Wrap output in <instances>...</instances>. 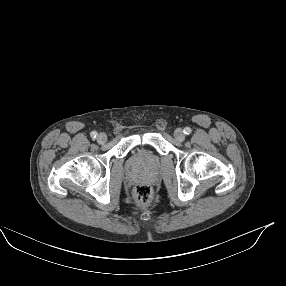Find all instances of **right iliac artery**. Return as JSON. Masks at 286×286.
<instances>
[{
  "label": "right iliac artery",
  "instance_id": "1",
  "mask_svg": "<svg viewBox=\"0 0 286 286\" xmlns=\"http://www.w3.org/2000/svg\"><path fill=\"white\" fill-rule=\"evenodd\" d=\"M90 136L95 139L97 137V132L96 131H92L90 133Z\"/></svg>",
  "mask_w": 286,
  "mask_h": 286
}]
</instances>
